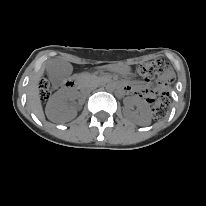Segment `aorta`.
I'll return each instance as SVG.
<instances>
[{"mask_svg": "<svg viewBox=\"0 0 206 206\" xmlns=\"http://www.w3.org/2000/svg\"><path fill=\"white\" fill-rule=\"evenodd\" d=\"M105 88L108 92H113L115 90V85L113 83H107Z\"/></svg>", "mask_w": 206, "mask_h": 206, "instance_id": "obj_1", "label": "aorta"}]
</instances>
